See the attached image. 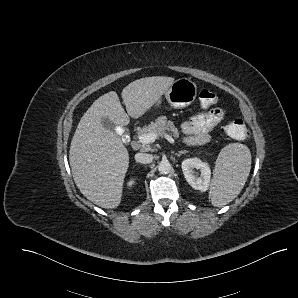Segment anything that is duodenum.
<instances>
[{
  "label": "duodenum",
  "instance_id": "duodenum-1",
  "mask_svg": "<svg viewBox=\"0 0 298 298\" xmlns=\"http://www.w3.org/2000/svg\"><path fill=\"white\" fill-rule=\"evenodd\" d=\"M139 147H140L139 143H137V142L133 143V148L134 149H138Z\"/></svg>",
  "mask_w": 298,
  "mask_h": 298
}]
</instances>
